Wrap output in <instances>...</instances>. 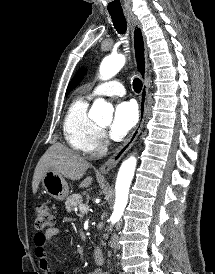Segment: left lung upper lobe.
Returning a JSON list of instances; mask_svg holds the SVG:
<instances>
[{"instance_id": "left-lung-upper-lobe-1", "label": "left lung upper lobe", "mask_w": 215, "mask_h": 274, "mask_svg": "<svg viewBox=\"0 0 215 274\" xmlns=\"http://www.w3.org/2000/svg\"><path fill=\"white\" fill-rule=\"evenodd\" d=\"M85 74H86V69L85 68H81V69L78 70V72L76 73V75L74 76V78L72 79V81L68 85L66 95L68 93H70V91L73 90L79 84V82L82 80V78Z\"/></svg>"}]
</instances>
